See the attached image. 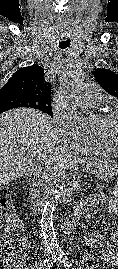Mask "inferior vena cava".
<instances>
[{
  "instance_id": "obj_1",
  "label": "inferior vena cava",
  "mask_w": 118,
  "mask_h": 269,
  "mask_svg": "<svg viewBox=\"0 0 118 269\" xmlns=\"http://www.w3.org/2000/svg\"><path fill=\"white\" fill-rule=\"evenodd\" d=\"M40 177H41V181H40V184H41V187L44 189H47V187L49 186L50 184V180H51V175L48 174V172L44 171V172H41L40 173ZM45 200L44 198V194H43V197H41V203Z\"/></svg>"
}]
</instances>
